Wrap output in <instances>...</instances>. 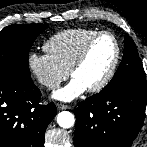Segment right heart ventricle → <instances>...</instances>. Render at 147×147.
Instances as JSON below:
<instances>
[{"mask_svg": "<svg viewBox=\"0 0 147 147\" xmlns=\"http://www.w3.org/2000/svg\"><path fill=\"white\" fill-rule=\"evenodd\" d=\"M97 32L89 28L62 30L51 36L43 48L61 67L69 71L86 41Z\"/></svg>", "mask_w": 147, "mask_h": 147, "instance_id": "obj_1", "label": "right heart ventricle"}]
</instances>
